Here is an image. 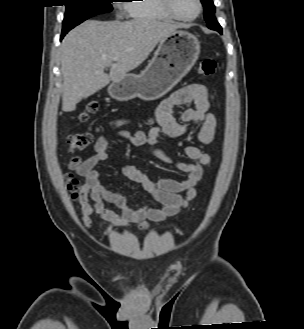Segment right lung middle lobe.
Instances as JSON below:
<instances>
[{
	"mask_svg": "<svg viewBox=\"0 0 304 329\" xmlns=\"http://www.w3.org/2000/svg\"><path fill=\"white\" fill-rule=\"evenodd\" d=\"M66 12L63 20L62 34L79 25L86 19L98 14L112 11L113 0H65Z\"/></svg>",
	"mask_w": 304,
	"mask_h": 329,
	"instance_id": "obj_1",
	"label": "right lung middle lobe"
}]
</instances>
